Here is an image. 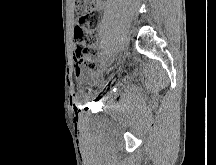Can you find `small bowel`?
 Instances as JSON below:
<instances>
[{"label": "small bowel", "instance_id": "1", "mask_svg": "<svg viewBox=\"0 0 216 165\" xmlns=\"http://www.w3.org/2000/svg\"><path fill=\"white\" fill-rule=\"evenodd\" d=\"M74 72H75V74H76V76L77 77H81V76H85L83 73H82V70H81V68L80 67H78L77 65L75 66V68H74ZM77 95V91H74V96H76Z\"/></svg>", "mask_w": 216, "mask_h": 165}]
</instances>
